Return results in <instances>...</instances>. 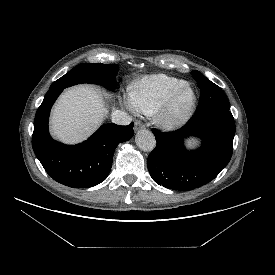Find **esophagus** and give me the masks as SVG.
Instances as JSON below:
<instances>
[{"label": "esophagus", "mask_w": 275, "mask_h": 275, "mask_svg": "<svg viewBox=\"0 0 275 275\" xmlns=\"http://www.w3.org/2000/svg\"><path fill=\"white\" fill-rule=\"evenodd\" d=\"M142 128H144V125L140 121H135L134 130L137 131Z\"/></svg>", "instance_id": "1"}]
</instances>
